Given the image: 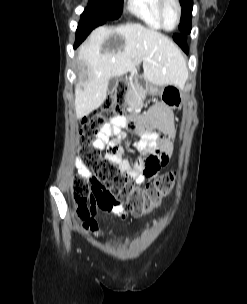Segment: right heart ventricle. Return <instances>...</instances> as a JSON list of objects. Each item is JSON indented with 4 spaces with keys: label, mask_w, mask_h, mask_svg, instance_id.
Wrapping results in <instances>:
<instances>
[{
    "label": "right heart ventricle",
    "mask_w": 247,
    "mask_h": 304,
    "mask_svg": "<svg viewBox=\"0 0 247 304\" xmlns=\"http://www.w3.org/2000/svg\"><path fill=\"white\" fill-rule=\"evenodd\" d=\"M159 0H129L128 10L153 29H163L158 15Z\"/></svg>",
    "instance_id": "obj_1"
}]
</instances>
